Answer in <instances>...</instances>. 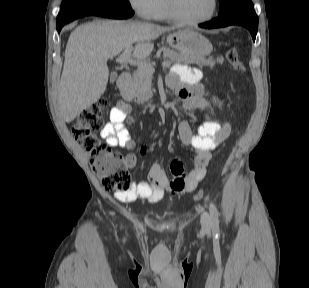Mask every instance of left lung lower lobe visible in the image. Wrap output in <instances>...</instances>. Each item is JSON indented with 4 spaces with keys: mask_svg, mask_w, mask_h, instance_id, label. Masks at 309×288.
Segmentation results:
<instances>
[{
    "mask_svg": "<svg viewBox=\"0 0 309 288\" xmlns=\"http://www.w3.org/2000/svg\"><path fill=\"white\" fill-rule=\"evenodd\" d=\"M229 25H240L247 28L253 40L255 41L258 29V17L254 11L253 5L242 7L228 15L200 24L201 28L212 29L221 28Z\"/></svg>",
    "mask_w": 309,
    "mask_h": 288,
    "instance_id": "left-lung-lower-lobe-1",
    "label": "left lung lower lobe"
}]
</instances>
